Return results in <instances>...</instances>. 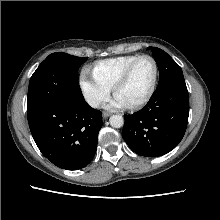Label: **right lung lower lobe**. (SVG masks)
Returning a JSON list of instances; mask_svg holds the SVG:
<instances>
[{
	"label": "right lung lower lobe",
	"mask_w": 220,
	"mask_h": 220,
	"mask_svg": "<svg viewBox=\"0 0 220 220\" xmlns=\"http://www.w3.org/2000/svg\"><path fill=\"white\" fill-rule=\"evenodd\" d=\"M27 117L35 143L54 165L77 170L92 161L102 113L85 100L73 105L44 103L27 109Z\"/></svg>",
	"instance_id": "right-lung-lower-lobe-1"
}]
</instances>
